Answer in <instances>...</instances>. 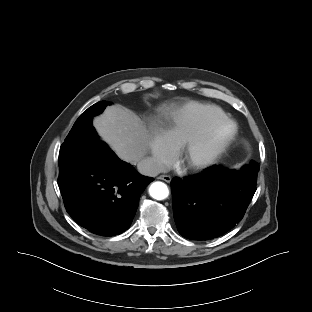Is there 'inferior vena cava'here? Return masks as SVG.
Here are the masks:
<instances>
[{
  "instance_id": "obj_1",
  "label": "inferior vena cava",
  "mask_w": 312,
  "mask_h": 312,
  "mask_svg": "<svg viewBox=\"0 0 312 312\" xmlns=\"http://www.w3.org/2000/svg\"><path fill=\"white\" fill-rule=\"evenodd\" d=\"M137 168L142 175L151 177L157 176L158 174L166 171V166L162 161L151 157L142 159L137 164Z\"/></svg>"
}]
</instances>
